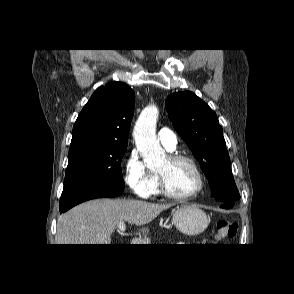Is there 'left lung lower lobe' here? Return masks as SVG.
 <instances>
[{
    "mask_svg": "<svg viewBox=\"0 0 294 294\" xmlns=\"http://www.w3.org/2000/svg\"><path fill=\"white\" fill-rule=\"evenodd\" d=\"M222 201H225V203L221 206V208L228 209V208L233 207V205H234L233 200H222Z\"/></svg>",
    "mask_w": 294,
    "mask_h": 294,
    "instance_id": "0a47b994",
    "label": "left lung lower lobe"
}]
</instances>
